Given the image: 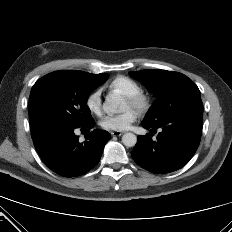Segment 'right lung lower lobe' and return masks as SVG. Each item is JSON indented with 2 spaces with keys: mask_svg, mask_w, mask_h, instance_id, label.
<instances>
[{
  "mask_svg": "<svg viewBox=\"0 0 232 232\" xmlns=\"http://www.w3.org/2000/svg\"><path fill=\"white\" fill-rule=\"evenodd\" d=\"M94 122L80 127L92 128ZM75 127L49 126L31 128L35 148L45 164L55 173L65 177L80 176L92 169L100 160L110 135L96 129L87 135V141L79 142Z\"/></svg>",
  "mask_w": 232,
  "mask_h": 232,
  "instance_id": "obj_1",
  "label": "right lung lower lobe"
}]
</instances>
